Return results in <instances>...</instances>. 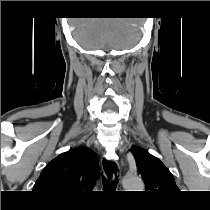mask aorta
Segmentation results:
<instances>
[{
  "instance_id": "762f6f07",
  "label": "aorta",
  "mask_w": 210,
  "mask_h": 210,
  "mask_svg": "<svg viewBox=\"0 0 210 210\" xmlns=\"http://www.w3.org/2000/svg\"><path fill=\"white\" fill-rule=\"evenodd\" d=\"M123 186L127 191H142V189H144L141 178L135 175L125 176Z\"/></svg>"
}]
</instances>
